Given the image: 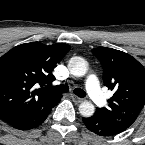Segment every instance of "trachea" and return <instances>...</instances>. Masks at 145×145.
Listing matches in <instances>:
<instances>
[{"label": "trachea", "instance_id": "obj_1", "mask_svg": "<svg viewBox=\"0 0 145 145\" xmlns=\"http://www.w3.org/2000/svg\"><path fill=\"white\" fill-rule=\"evenodd\" d=\"M46 89L55 93H66L69 91V88L66 85H59V86H54V87L47 86ZM74 94H76L77 96L81 98L86 97L85 91L81 88L74 89Z\"/></svg>", "mask_w": 145, "mask_h": 145}]
</instances>
